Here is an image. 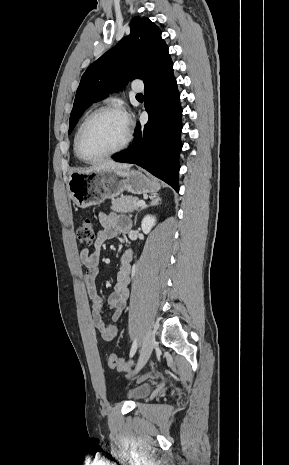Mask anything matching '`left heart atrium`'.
<instances>
[{
    "instance_id": "39dd6f15",
    "label": "left heart atrium",
    "mask_w": 289,
    "mask_h": 465,
    "mask_svg": "<svg viewBox=\"0 0 289 465\" xmlns=\"http://www.w3.org/2000/svg\"><path fill=\"white\" fill-rule=\"evenodd\" d=\"M126 123L129 121L127 115L124 116Z\"/></svg>"
}]
</instances>
